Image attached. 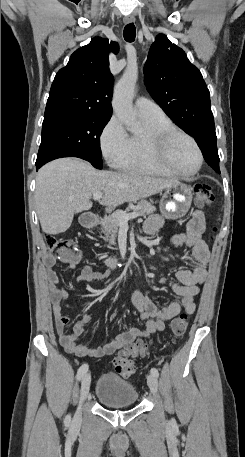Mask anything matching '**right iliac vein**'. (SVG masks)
<instances>
[{"label": "right iliac vein", "mask_w": 245, "mask_h": 457, "mask_svg": "<svg viewBox=\"0 0 245 457\" xmlns=\"http://www.w3.org/2000/svg\"><path fill=\"white\" fill-rule=\"evenodd\" d=\"M90 382H91V375L90 373L84 374L82 377V382H81V388H80V398L79 402L82 404L86 397L88 396L89 390H90ZM73 420L75 422H80L81 420V409L79 408L77 412L74 415Z\"/></svg>", "instance_id": "63e3f726"}]
</instances>
